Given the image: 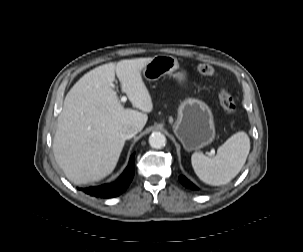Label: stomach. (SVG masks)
I'll return each instance as SVG.
<instances>
[{
  "label": "stomach",
  "mask_w": 303,
  "mask_h": 252,
  "mask_svg": "<svg viewBox=\"0 0 303 252\" xmlns=\"http://www.w3.org/2000/svg\"><path fill=\"white\" fill-rule=\"evenodd\" d=\"M179 67L178 60L171 55H157L144 67L143 76L148 81H156L164 75H170ZM175 79L184 84L187 74L180 72ZM173 132L187 151L201 149L215 139L213 114L202 100L188 98L178 107L177 120Z\"/></svg>",
  "instance_id": "stomach-1"
}]
</instances>
